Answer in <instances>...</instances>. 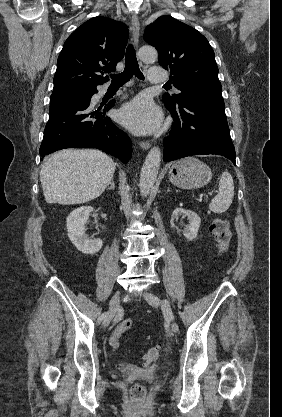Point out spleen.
Instances as JSON below:
<instances>
[{"label":"spleen","instance_id":"1","mask_svg":"<svg viewBox=\"0 0 282 417\" xmlns=\"http://www.w3.org/2000/svg\"><path fill=\"white\" fill-rule=\"evenodd\" d=\"M234 182L230 172H222L219 180V192L209 204L213 213H225L233 200Z\"/></svg>","mask_w":282,"mask_h":417}]
</instances>
